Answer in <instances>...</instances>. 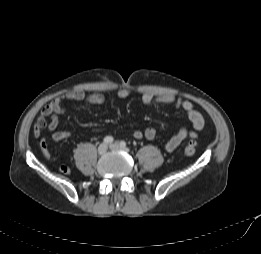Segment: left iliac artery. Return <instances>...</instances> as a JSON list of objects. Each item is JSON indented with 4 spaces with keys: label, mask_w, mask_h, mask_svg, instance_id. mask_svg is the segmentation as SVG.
Listing matches in <instances>:
<instances>
[{
    "label": "left iliac artery",
    "mask_w": 261,
    "mask_h": 254,
    "mask_svg": "<svg viewBox=\"0 0 261 254\" xmlns=\"http://www.w3.org/2000/svg\"><path fill=\"white\" fill-rule=\"evenodd\" d=\"M120 146L123 147V148H125V147H126V143H125L124 141H121V142H120Z\"/></svg>",
    "instance_id": "obj_1"
}]
</instances>
